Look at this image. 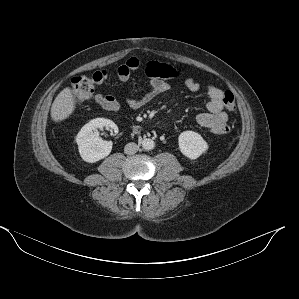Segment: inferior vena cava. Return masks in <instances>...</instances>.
I'll return each mask as SVG.
<instances>
[{
  "mask_svg": "<svg viewBox=\"0 0 299 299\" xmlns=\"http://www.w3.org/2000/svg\"><path fill=\"white\" fill-rule=\"evenodd\" d=\"M138 149H139V146L136 143L130 142L125 145L124 152L126 154L131 155V154H135L138 151Z\"/></svg>",
  "mask_w": 299,
  "mask_h": 299,
  "instance_id": "inferior-vena-cava-1",
  "label": "inferior vena cava"
}]
</instances>
